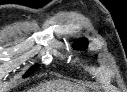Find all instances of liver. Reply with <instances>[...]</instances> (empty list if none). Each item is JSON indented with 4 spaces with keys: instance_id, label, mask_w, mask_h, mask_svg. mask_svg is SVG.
I'll return each instance as SVG.
<instances>
[{
    "instance_id": "liver-1",
    "label": "liver",
    "mask_w": 127,
    "mask_h": 92,
    "mask_svg": "<svg viewBox=\"0 0 127 92\" xmlns=\"http://www.w3.org/2000/svg\"><path fill=\"white\" fill-rule=\"evenodd\" d=\"M40 90H47V91H32V92H51L49 90H54L52 92H79L81 88L77 84H73L65 81H53L46 88H42Z\"/></svg>"
}]
</instances>
